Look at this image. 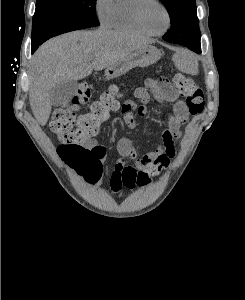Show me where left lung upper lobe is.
Listing matches in <instances>:
<instances>
[{"label": "left lung upper lobe", "instance_id": "left-lung-upper-lobe-1", "mask_svg": "<svg viewBox=\"0 0 245 300\" xmlns=\"http://www.w3.org/2000/svg\"><path fill=\"white\" fill-rule=\"evenodd\" d=\"M166 7L171 27L163 39L168 42L201 36L195 0H160Z\"/></svg>", "mask_w": 245, "mask_h": 300}]
</instances>
